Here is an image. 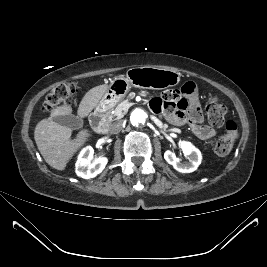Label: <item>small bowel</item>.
<instances>
[{"mask_svg": "<svg viewBox=\"0 0 267 267\" xmlns=\"http://www.w3.org/2000/svg\"><path fill=\"white\" fill-rule=\"evenodd\" d=\"M150 108L162 113L176 126L188 125L195 136L207 140L215 135V130L203 123L198 89L188 82L180 90H167L161 97L150 101Z\"/></svg>", "mask_w": 267, "mask_h": 267, "instance_id": "c3829d8e", "label": "small bowel"}]
</instances>
